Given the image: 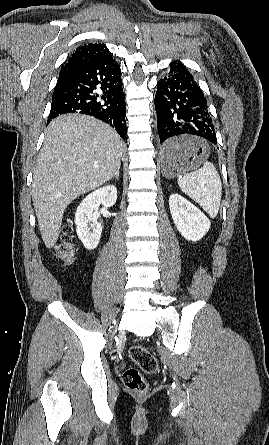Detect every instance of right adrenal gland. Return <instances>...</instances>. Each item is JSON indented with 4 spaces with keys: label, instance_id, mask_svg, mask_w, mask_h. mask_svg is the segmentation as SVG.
Returning a JSON list of instances; mask_svg holds the SVG:
<instances>
[{
    "label": "right adrenal gland",
    "instance_id": "obj_1",
    "mask_svg": "<svg viewBox=\"0 0 269 445\" xmlns=\"http://www.w3.org/2000/svg\"><path fill=\"white\" fill-rule=\"evenodd\" d=\"M119 170H120V167H118V169L116 170V172H115V174L113 175V177L112 178H116V179H118L119 178ZM111 178V179H112Z\"/></svg>",
    "mask_w": 269,
    "mask_h": 445
}]
</instances>
